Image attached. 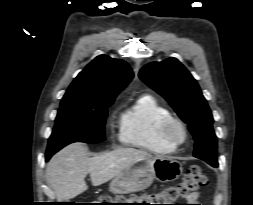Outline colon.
Returning <instances> with one entry per match:
<instances>
[{"instance_id":"1","label":"colon","mask_w":253,"mask_h":205,"mask_svg":"<svg viewBox=\"0 0 253 205\" xmlns=\"http://www.w3.org/2000/svg\"><path fill=\"white\" fill-rule=\"evenodd\" d=\"M206 183L207 179L202 169L197 165H193L176 185L165 187L158 192L129 198L121 195H104L100 198V205H176L173 203L197 193Z\"/></svg>"}]
</instances>
